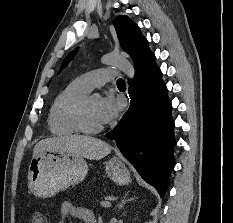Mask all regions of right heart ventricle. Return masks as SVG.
Here are the masks:
<instances>
[{"mask_svg":"<svg viewBox=\"0 0 233 223\" xmlns=\"http://www.w3.org/2000/svg\"><path fill=\"white\" fill-rule=\"evenodd\" d=\"M89 94V91L78 80L71 81L56 96L49 115V131L58 137L78 134L73 122V114L77 105Z\"/></svg>","mask_w":233,"mask_h":223,"instance_id":"1","label":"right heart ventricle"}]
</instances>
